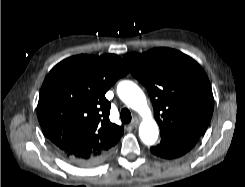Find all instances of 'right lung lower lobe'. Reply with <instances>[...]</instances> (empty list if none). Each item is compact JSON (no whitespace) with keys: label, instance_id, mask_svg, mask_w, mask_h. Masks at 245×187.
<instances>
[{"label":"right lung lower lobe","instance_id":"1","mask_svg":"<svg viewBox=\"0 0 245 187\" xmlns=\"http://www.w3.org/2000/svg\"><path fill=\"white\" fill-rule=\"evenodd\" d=\"M111 151L112 150L107 151L103 153L102 155L91 158L89 160H78V159H67V158L66 159L74 165L81 166V167H89V166H93V165L99 164L102 161H104L110 155Z\"/></svg>","mask_w":245,"mask_h":187}]
</instances>
